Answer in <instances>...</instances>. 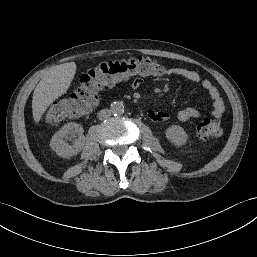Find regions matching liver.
Returning <instances> with one entry per match:
<instances>
[{
  "label": "liver",
  "instance_id": "obj_1",
  "mask_svg": "<svg viewBox=\"0 0 257 257\" xmlns=\"http://www.w3.org/2000/svg\"><path fill=\"white\" fill-rule=\"evenodd\" d=\"M76 73L75 62L60 64L51 68L35 87L32 99V113L39 123L49 105L65 94Z\"/></svg>",
  "mask_w": 257,
  "mask_h": 257
}]
</instances>
